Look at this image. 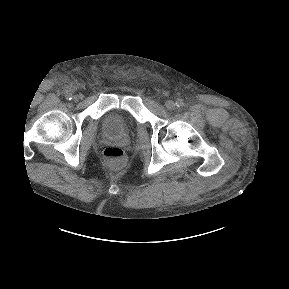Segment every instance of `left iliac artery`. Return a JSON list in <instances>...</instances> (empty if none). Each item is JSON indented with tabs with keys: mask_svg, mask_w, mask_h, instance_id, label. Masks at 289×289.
<instances>
[{
	"mask_svg": "<svg viewBox=\"0 0 289 289\" xmlns=\"http://www.w3.org/2000/svg\"><path fill=\"white\" fill-rule=\"evenodd\" d=\"M183 101L181 100V99H178L177 101H176V106L177 107H181V106H183Z\"/></svg>",
	"mask_w": 289,
	"mask_h": 289,
	"instance_id": "44dca946",
	"label": "left iliac artery"
}]
</instances>
